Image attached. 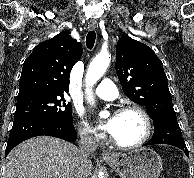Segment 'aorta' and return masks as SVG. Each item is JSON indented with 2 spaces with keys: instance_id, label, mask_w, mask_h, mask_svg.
<instances>
[{
  "instance_id": "aorta-1",
  "label": "aorta",
  "mask_w": 194,
  "mask_h": 178,
  "mask_svg": "<svg viewBox=\"0 0 194 178\" xmlns=\"http://www.w3.org/2000/svg\"><path fill=\"white\" fill-rule=\"evenodd\" d=\"M110 55L108 52L99 53L90 63L86 74V93L88 100L93 101L91 87L103 76L109 63Z\"/></svg>"
}]
</instances>
